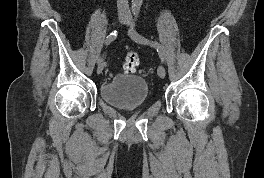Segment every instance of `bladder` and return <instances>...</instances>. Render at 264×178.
I'll return each mask as SVG.
<instances>
[{
  "label": "bladder",
  "mask_w": 264,
  "mask_h": 178,
  "mask_svg": "<svg viewBox=\"0 0 264 178\" xmlns=\"http://www.w3.org/2000/svg\"><path fill=\"white\" fill-rule=\"evenodd\" d=\"M100 94L109 105L127 109L143 105L149 97V87L142 76L119 73L101 86Z\"/></svg>",
  "instance_id": "obj_1"
}]
</instances>
